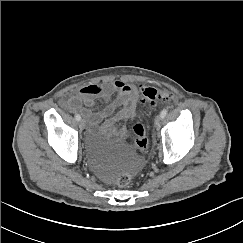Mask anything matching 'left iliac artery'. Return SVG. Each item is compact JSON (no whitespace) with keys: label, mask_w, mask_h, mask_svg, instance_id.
<instances>
[{"label":"left iliac artery","mask_w":243,"mask_h":243,"mask_svg":"<svg viewBox=\"0 0 243 243\" xmlns=\"http://www.w3.org/2000/svg\"><path fill=\"white\" fill-rule=\"evenodd\" d=\"M167 109H163L160 113V116L162 117V119L167 115Z\"/></svg>","instance_id":"left-iliac-artery-1"}]
</instances>
